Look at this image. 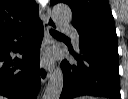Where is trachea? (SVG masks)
Segmentation results:
<instances>
[{
	"instance_id": "trachea-1",
	"label": "trachea",
	"mask_w": 128,
	"mask_h": 99,
	"mask_svg": "<svg viewBox=\"0 0 128 99\" xmlns=\"http://www.w3.org/2000/svg\"><path fill=\"white\" fill-rule=\"evenodd\" d=\"M50 33L53 35V36H57V35H63L62 33H59L53 29L50 30Z\"/></svg>"
}]
</instances>
